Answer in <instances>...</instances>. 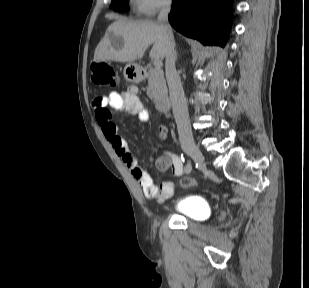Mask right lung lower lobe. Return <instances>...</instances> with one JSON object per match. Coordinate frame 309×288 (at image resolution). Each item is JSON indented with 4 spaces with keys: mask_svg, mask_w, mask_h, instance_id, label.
I'll return each instance as SVG.
<instances>
[{
    "mask_svg": "<svg viewBox=\"0 0 309 288\" xmlns=\"http://www.w3.org/2000/svg\"><path fill=\"white\" fill-rule=\"evenodd\" d=\"M232 0H173L170 24L204 44L224 46L231 24Z\"/></svg>",
    "mask_w": 309,
    "mask_h": 288,
    "instance_id": "obj_1",
    "label": "right lung lower lobe"
}]
</instances>
